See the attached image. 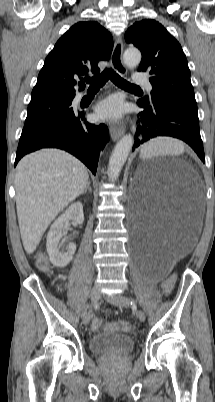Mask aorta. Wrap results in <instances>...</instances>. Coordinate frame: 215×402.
Returning <instances> with one entry per match:
<instances>
[{"label": "aorta", "instance_id": "762f6f07", "mask_svg": "<svg viewBox=\"0 0 215 402\" xmlns=\"http://www.w3.org/2000/svg\"><path fill=\"white\" fill-rule=\"evenodd\" d=\"M141 61V53L136 48H128L123 55V62L126 67L132 69L139 65ZM133 137L130 134L123 136L116 144L112 155L109 159L108 176L111 182H115L121 169L132 149Z\"/></svg>", "mask_w": 215, "mask_h": 402}]
</instances>
